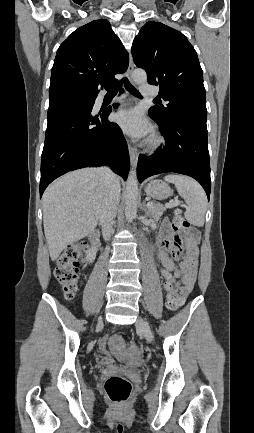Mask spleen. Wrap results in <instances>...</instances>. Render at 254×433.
Here are the masks:
<instances>
[{"label":"spleen","mask_w":254,"mask_h":433,"mask_svg":"<svg viewBox=\"0 0 254 433\" xmlns=\"http://www.w3.org/2000/svg\"><path fill=\"white\" fill-rule=\"evenodd\" d=\"M164 179L175 185L178 194L188 205L185 212L188 222L202 227L207 211V197L200 184L190 177L176 174L166 175Z\"/></svg>","instance_id":"3e777b00"}]
</instances>
